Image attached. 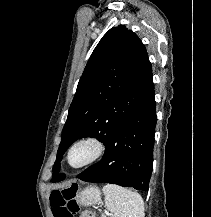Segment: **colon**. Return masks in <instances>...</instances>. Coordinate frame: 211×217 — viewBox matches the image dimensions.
Masks as SVG:
<instances>
[{
  "instance_id": "1",
  "label": "colon",
  "mask_w": 211,
  "mask_h": 217,
  "mask_svg": "<svg viewBox=\"0 0 211 217\" xmlns=\"http://www.w3.org/2000/svg\"><path fill=\"white\" fill-rule=\"evenodd\" d=\"M77 185L73 184L63 190L53 191L50 195V205L54 217H74L79 211L75 200ZM80 217H96L91 211L82 212Z\"/></svg>"
}]
</instances>
